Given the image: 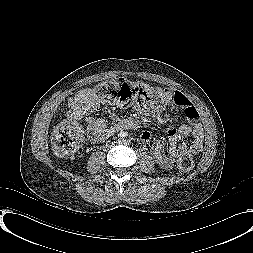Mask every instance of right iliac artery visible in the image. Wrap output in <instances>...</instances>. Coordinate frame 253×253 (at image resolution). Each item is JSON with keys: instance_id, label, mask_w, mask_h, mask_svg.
I'll use <instances>...</instances> for the list:
<instances>
[{"instance_id": "obj_1", "label": "right iliac artery", "mask_w": 253, "mask_h": 253, "mask_svg": "<svg viewBox=\"0 0 253 253\" xmlns=\"http://www.w3.org/2000/svg\"><path fill=\"white\" fill-rule=\"evenodd\" d=\"M121 137H125V135L123 134ZM119 140H121V138Z\"/></svg>"}]
</instances>
